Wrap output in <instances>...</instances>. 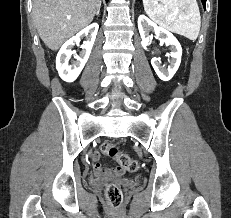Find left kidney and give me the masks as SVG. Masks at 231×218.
Masks as SVG:
<instances>
[{"label":"left kidney","mask_w":231,"mask_h":218,"mask_svg":"<svg viewBox=\"0 0 231 218\" xmlns=\"http://www.w3.org/2000/svg\"><path fill=\"white\" fill-rule=\"evenodd\" d=\"M138 29L141 35L142 41L145 44H150L152 40V36L149 35L150 31H154L156 36L161 38V41L166 45L170 46L171 52L169 60L170 65L167 69L160 66L157 59L155 57L152 58L151 64L161 80L167 81L170 80L173 75L178 70L181 63L182 56V48L178 40L174 37V35L169 32L167 29L158 26L156 23L151 21L145 15H140L138 18Z\"/></svg>","instance_id":"obj_1"}]
</instances>
